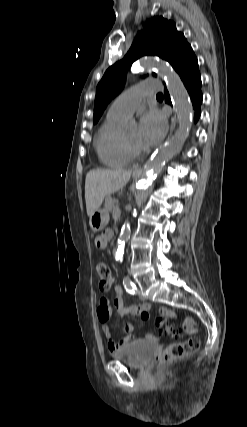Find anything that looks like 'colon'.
<instances>
[{"label":"colon","instance_id":"colon-1","mask_svg":"<svg viewBox=\"0 0 247 427\" xmlns=\"http://www.w3.org/2000/svg\"><path fill=\"white\" fill-rule=\"evenodd\" d=\"M96 271L99 276V285L101 290H109L113 283V275L109 266L104 262H99L96 266ZM196 330L197 327L195 321L192 318H186L183 323V331L188 335H194ZM166 332L174 336L179 335V332L171 326L166 328ZM198 348L199 340L196 338H190L185 342L172 344L163 353L161 362L167 363L184 358L195 352Z\"/></svg>","mask_w":247,"mask_h":427}]
</instances>
